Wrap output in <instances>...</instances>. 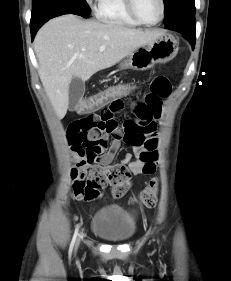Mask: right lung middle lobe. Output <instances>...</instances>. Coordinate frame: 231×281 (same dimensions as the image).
Wrapping results in <instances>:
<instances>
[{
  "mask_svg": "<svg viewBox=\"0 0 231 281\" xmlns=\"http://www.w3.org/2000/svg\"><path fill=\"white\" fill-rule=\"evenodd\" d=\"M42 1L43 0H32V10L35 9L37 6H39ZM66 1L76 4L85 13L87 14L90 13L91 9L89 5L85 2V0H66Z\"/></svg>",
  "mask_w": 231,
  "mask_h": 281,
  "instance_id": "obj_1",
  "label": "right lung middle lobe"
}]
</instances>
